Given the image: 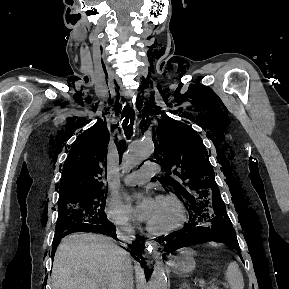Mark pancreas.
I'll return each mask as SVG.
<instances>
[{
    "instance_id": "1",
    "label": "pancreas",
    "mask_w": 289,
    "mask_h": 289,
    "mask_svg": "<svg viewBox=\"0 0 289 289\" xmlns=\"http://www.w3.org/2000/svg\"><path fill=\"white\" fill-rule=\"evenodd\" d=\"M205 289H219V287L215 284H211V285L207 286Z\"/></svg>"
}]
</instances>
